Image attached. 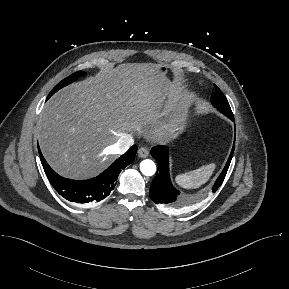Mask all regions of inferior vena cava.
<instances>
[{
    "mask_svg": "<svg viewBox=\"0 0 289 289\" xmlns=\"http://www.w3.org/2000/svg\"><path fill=\"white\" fill-rule=\"evenodd\" d=\"M134 144V139L130 134H123L112 146L113 153L123 154Z\"/></svg>",
    "mask_w": 289,
    "mask_h": 289,
    "instance_id": "602c4592",
    "label": "inferior vena cava"
}]
</instances>
